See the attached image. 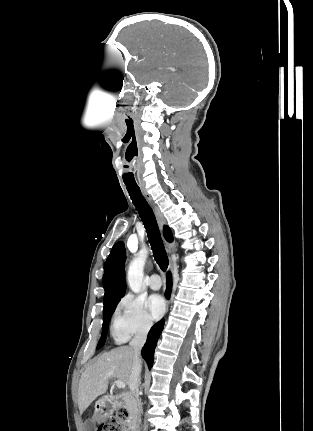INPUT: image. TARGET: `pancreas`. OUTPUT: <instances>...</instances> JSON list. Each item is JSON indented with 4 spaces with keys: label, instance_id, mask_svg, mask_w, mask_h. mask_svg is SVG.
<instances>
[{
    "label": "pancreas",
    "instance_id": "1",
    "mask_svg": "<svg viewBox=\"0 0 313 431\" xmlns=\"http://www.w3.org/2000/svg\"><path fill=\"white\" fill-rule=\"evenodd\" d=\"M120 406H121L120 404H117V403L115 404V407H120Z\"/></svg>",
    "mask_w": 313,
    "mask_h": 431
}]
</instances>
